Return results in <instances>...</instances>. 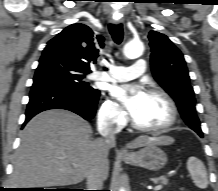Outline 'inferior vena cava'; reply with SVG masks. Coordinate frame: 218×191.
<instances>
[{"label": "inferior vena cava", "instance_id": "1", "mask_svg": "<svg viewBox=\"0 0 218 191\" xmlns=\"http://www.w3.org/2000/svg\"><path fill=\"white\" fill-rule=\"evenodd\" d=\"M98 131L103 136L104 143L107 148L115 146V131L112 127V122L108 119V117H103L98 121ZM104 180V163L95 164L87 175L88 190H101Z\"/></svg>", "mask_w": 218, "mask_h": 191}]
</instances>
